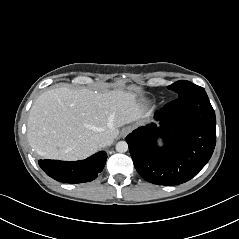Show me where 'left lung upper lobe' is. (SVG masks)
Listing matches in <instances>:
<instances>
[{
    "label": "left lung upper lobe",
    "instance_id": "left-lung-upper-lobe-1",
    "mask_svg": "<svg viewBox=\"0 0 239 239\" xmlns=\"http://www.w3.org/2000/svg\"><path fill=\"white\" fill-rule=\"evenodd\" d=\"M167 88L175 91L178 94V98L185 97L198 91L204 90V88L186 80L177 81L172 85L168 86Z\"/></svg>",
    "mask_w": 239,
    "mask_h": 239
}]
</instances>
